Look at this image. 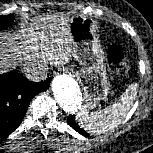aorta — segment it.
I'll return each mask as SVG.
<instances>
[{
	"instance_id": "1",
	"label": "aorta",
	"mask_w": 153,
	"mask_h": 153,
	"mask_svg": "<svg viewBox=\"0 0 153 153\" xmlns=\"http://www.w3.org/2000/svg\"><path fill=\"white\" fill-rule=\"evenodd\" d=\"M54 97L66 113H75L81 106L82 94L74 79L67 75L57 76L52 83Z\"/></svg>"
}]
</instances>
